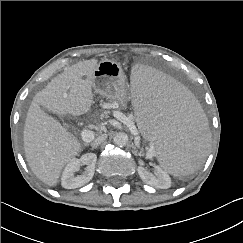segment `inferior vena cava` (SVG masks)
<instances>
[{
  "label": "inferior vena cava",
  "instance_id": "inferior-vena-cava-1",
  "mask_svg": "<svg viewBox=\"0 0 243 243\" xmlns=\"http://www.w3.org/2000/svg\"><path fill=\"white\" fill-rule=\"evenodd\" d=\"M107 138L106 134H102L96 139H94L91 143L92 147H98L105 139Z\"/></svg>",
  "mask_w": 243,
  "mask_h": 243
}]
</instances>
